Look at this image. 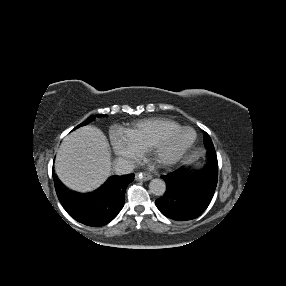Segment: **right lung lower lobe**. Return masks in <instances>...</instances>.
<instances>
[{
  "mask_svg": "<svg viewBox=\"0 0 286 286\" xmlns=\"http://www.w3.org/2000/svg\"><path fill=\"white\" fill-rule=\"evenodd\" d=\"M134 174L112 176L99 189L87 194L68 193L55 174V190L67 213L80 223L100 227L113 220L124 206L125 191Z\"/></svg>",
  "mask_w": 286,
  "mask_h": 286,
  "instance_id": "obj_1",
  "label": "right lung lower lobe"
}]
</instances>
